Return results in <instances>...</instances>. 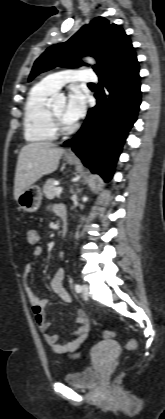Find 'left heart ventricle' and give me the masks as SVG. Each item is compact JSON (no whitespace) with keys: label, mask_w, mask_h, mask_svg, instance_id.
<instances>
[{"label":"left heart ventricle","mask_w":165,"mask_h":419,"mask_svg":"<svg viewBox=\"0 0 165 419\" xmlns=\"http://www.w3.org/2000/svg\"><path fill=\"white\" fill-rule=\"evenodd\" d=\"M54 112L63 120L64 119V112H65V104L61 103L53 107Z\"/></svg>","instance_id":"1"}]
</instances>
